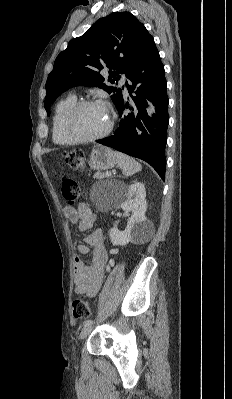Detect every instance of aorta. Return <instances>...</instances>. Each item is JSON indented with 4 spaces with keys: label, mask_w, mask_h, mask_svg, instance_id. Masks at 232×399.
Returning <instances> with one entry per match:
<instances>
[{
    "label": "aorta",
    "mask_w": 232,
    "mask_h": 399,
    "mask_svg": "<svg viewBox=\"0 0 232 399\" xmlns=\"http://www.w3.org/2000/svg\"><path fill=\"white\" fill-rule=\"evenodd\" d=\"M149 106H150V107H149V109L147 110V112H148V115L151 116V114H152L155 110H154V106H153L152 104H149Z\"/></svg>",
    "instance_id": "762f6f07"
}]
</instances>
